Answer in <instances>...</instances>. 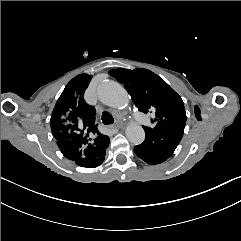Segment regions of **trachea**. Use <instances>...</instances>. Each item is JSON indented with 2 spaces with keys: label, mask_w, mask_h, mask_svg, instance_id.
<instances>
[{
  "label": "trachea",
  "mask_w": 241,
  "mask_h": 241,
  "mask_svg": "<svg viewBox=\"0 0 241 241\" xmlns=\"http://www.w3.org/2000/svg\"><path fill=\"white\" fill-rule=\"evenodd\" d=\"M102 122L105 125L113 124L114 123L113 116L110 113H108V112H104L102 114Z\"/></svg>",
  "instance_id": "obj_1"
}]
</instances>
